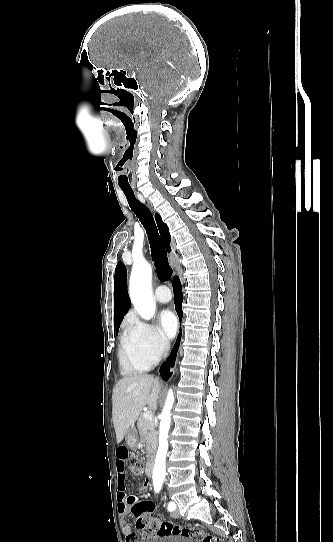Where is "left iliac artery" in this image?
I'll return each mask as SVG.
<instances>
[{"instance_id": "44dca946", "label": "left iliac artery", "mask_w": 333, "mask_h": 542, "mask_svg": "<svg viewBox=\"0 0 333 542\" xmlns=\"http://www.w3.org/2000/svg\"><path fill=\"white\" fill-rule=\"evenodd\" d=\"M161 487H162V482H155L154 483V490H155L156 493H158L161 490ZM175 508H176L175 503L170 502L169 505H168V510L169 511H174Z\"/></svg>"}]
</instances>
